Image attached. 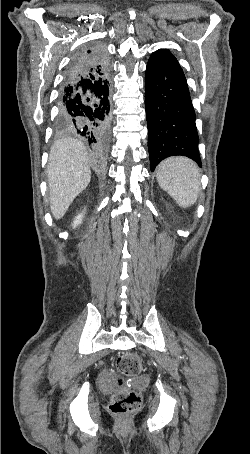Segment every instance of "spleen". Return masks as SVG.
Here are the masks:
<instances>
[{
	"label": "spleen",
	"mask_w": 250,
	"mask_h": 454,
	"mask_svg": "<svg viewBox=\"0 0 250 454\" xmlns=\"http://www.w3.org/2000/svg\"><path fill=\"white\" fill-rule=\"evenodd\" d=\"M159 186L182 208L193 205L200 191V174L197 165L184 157L164 160L157 169Z\"/></svg>",
	"instance_id": "3e777b00"
}]
</instances>
